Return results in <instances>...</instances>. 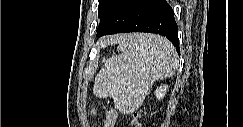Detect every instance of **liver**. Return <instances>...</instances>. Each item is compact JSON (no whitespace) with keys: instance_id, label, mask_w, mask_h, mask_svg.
<instances>
[{"instance_id":"liver-1","label":"liver","mask_w":243,"mask_h":127,"mask_svg":"<svg viewBox=\"0 0 243 127\" xmlns=\"http://www.w3.org/2000/svg\"><path fill=\"white\" fill-rule=\"evenodd\" d=\"M124 37H127V36H125V35L116 36L113 38V40L119 41V40L123 39Z\"/></svg>"}]
</instances>
